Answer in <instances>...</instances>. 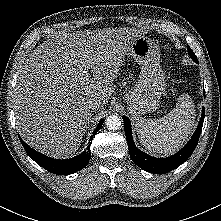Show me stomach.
Returning a JSON list of instances; mask_svg holds the SVG:
<instances>
[{"instance_id":"0dacf381","label":"stomach","mask_w":221,"mask_h":221,"mask_svg":"<svg viewBox=\"0 0 221 221\" xmlns=\"http://www.w3.org/2000/svg\"><path fill=\"white\" fill-rule=\"evenodd\" d=\"M128 53L141 66V72L135 86L126 93L125 101L128 112L139 117L160 106L166 88L165 74L160 66L158 46L151 38L137 37Z\"/></svg>"}]
</instances>
